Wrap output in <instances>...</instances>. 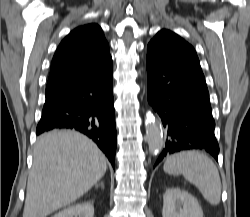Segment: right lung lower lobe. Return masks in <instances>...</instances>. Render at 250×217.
I'll return each instance as SVG.
<instances>
[{
	"instance_id": "98d812e1",
	"label": "right lung lower lobe",
	"mask_w": 250,
	"mask_h": 217,
	"mask_svg": "<svg viewBox=\"0 0 250 217\" xmlns=\"http://www.w3.org/2000/svg\"><path fill=\"white\" fill-rule=\"evenodd\" d=\"M53 129H72L86 134L115 167L112 62L88 78L46 92L37 135Z\"/></svg>"
}]
</instances>
